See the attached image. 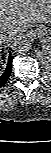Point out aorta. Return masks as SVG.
Masks as SVG:
<instances>
[{
	"instance_id": "aorta-1",
	"label": "aorta",
	"mask_w": 51,
	"mask_h": 153,
	"mask_svg": "<svg viewBox=\"0 0 51 153\" xmlns=\"http://www.w3.org/2000/svg\"><path fill=\"white\" fill-rule=\"evenodd\" d=\"M32 47L30 38L25 34H20L12 40V49L17 54H25Z\"/></svg>"
}]
</instances>
